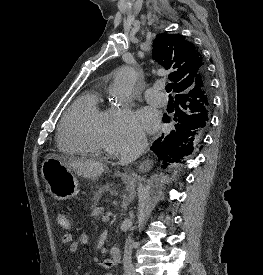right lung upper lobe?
Listing matches in <instances>:
<instances>
[{
    "label": "right lung upper lobe",
    "instance_id": "obj_1",
    "mask_svg": "<svg viewBox=\"0 0 263 275\" xmlns=\"http://www.w3.org/2000/svg\"><path fill=\"white\" fill-rule=\"evenodd\" d=\"M153 59L172 71L169 79L173 82L176 96L187 97L185 104H189L196 93L203 92L192 105L201 108V112L209 118L212 107L210 84L202 76L205 66L195 46L180 34H157L153 43Z\"/></svg>",
    "mask_w": 263,
    "mask_h": 275
}]
</instances>
